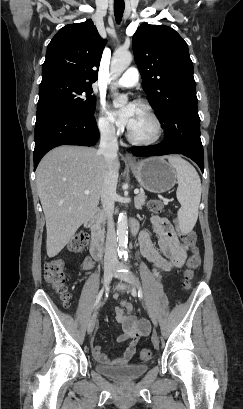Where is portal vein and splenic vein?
I'll return each instance as SVG.
<instances>
[{
  "mask_svg": "<svg viewBox=\"0 0 243 409\" xmlns=\"http://www.w3.org/2000/svg\"><path fill=\"white\" fill-rule=\"evenodd\" d=\"M134 193H135V194H138V193H139V190L136 189V190L134 191ZM85 194H86V195L90 194V191H89V190H85Z\"/></svg>",
  "mask_w": 243,
  "mask_h": 409,
  "instance_id": "obj_1",
  "label": "portal vein and splenic vein"
}]
</instances>
